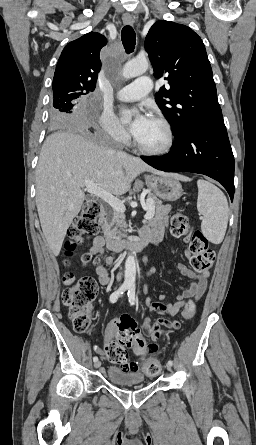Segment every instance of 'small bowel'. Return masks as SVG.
Masks as SVG:
<instances>
[{
	"instance_id": "small-bowel-1",
	"label": "small bowel",
	"mask_w": 256,
	"mask_h": 445,
	"mask_svg": "<svg viewBox=\"0 0 256 445\" xmlns=\"http://www.w3.org/2000/svg\"><path fill=\"white\" fill-rule=\"evenodd\" d=\"M167 212L168 207H162L158 210L153 220L150 224L142 230L141 235H149L154 243H159L164 237L165 227L167 224ZM187 241V239H186ZM90 254L93 257H102L103 261L97 263L95 267V272L98 276V280L102 285H108L110 283V275L107 267L111 266L114 261L113 258L106 255L105 240L102 236L97 235L93 239V244L90 248ZM186 257H190L191 253L189 251L185 252ZM175 270L190 279L189 287L184 290L178 297L176 302L168 303L165 301L166 295L161 294L157 301H149L148 308L151 312L165 315L169 317H175L178 312L183 307L185 300L187 298H194L196 300L200 299L207 288V280L209 277L208 272H195L188 268L184 264H178ZM154 272L153 269H149V274ZM117 323L118 319L112 320L106 327L105 330V345L112 342L117 333ZM180 323L178 321H171L165 318H158L153 323L147 318L145 319L142 331L145 336L151 338L150 343H146V352L152 353L159 348V339L165 334L168 329H179ZM96 352L102 353L100 347L94 348ZM121 369L137 371L140 368V364L134 361H128L119 364Z\"/></svg>"
}]
</instances>
